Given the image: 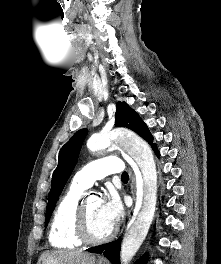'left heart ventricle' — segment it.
Returning a JSON list of instances; mask_svg holds the SVG:
<instances>
[{"label":"left heart ventricle","mask_w":221,"mask_h":264,"mask_svg":"<svg viewBox=\"0 0 221 264\" xmlns=\"http://www.w3.org/2000/svg\"><path fill=\"white\" fill-rule=\"evenodd\" d=\"M101 205L102 202L96 197H89L86 203L89 232L95 238L104 237L113 227L105 218Z\"/></svg>","instance_id":"left-heart-ventricle-1"}]
</instances>
